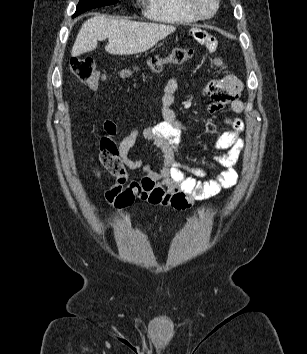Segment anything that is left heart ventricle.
Here are the masks:
<instances>
[{"mask_svg": "<svg viewBox=\"0 0 307 354\" xmlns=\"http://www.w3.org/2000/svg\"><path fill=\"white\" fill-rule=\"evenodd\" d=\"M197 4L202 12L207 13L213 6V0H197Z\"/></svg>", "mask_w": 307, "mask_h": 354, "instance_id": "left-heart-ventricle-1", "label": "left heart ventricle"}]
</instances>
